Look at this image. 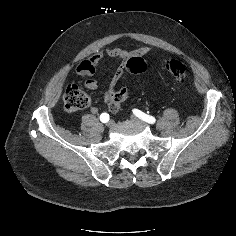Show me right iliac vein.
Returning a JSON list of instances; mask_svg holds the SVG:
<instances>
[{
    "label": "right iliac vein",
    "instance_id": "63e3f726",
    "mask_svg": "<svg viewBox=\"0 0 236 236\" xmlns=\"http://www.w3.org/2000/svg\"><path fill=\"white\" fill-rule=\"evenodd\" d=\"M106 126H107L108 128H112V127L114 126V122H113V121H109V122L106 124Z\"/></svg>",
    "mask_w": 236,
    "mask_h": 236
}]
</instances>
